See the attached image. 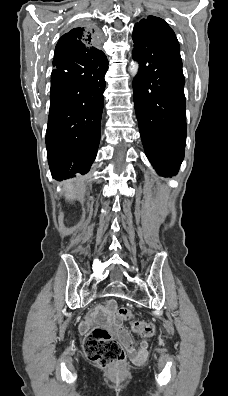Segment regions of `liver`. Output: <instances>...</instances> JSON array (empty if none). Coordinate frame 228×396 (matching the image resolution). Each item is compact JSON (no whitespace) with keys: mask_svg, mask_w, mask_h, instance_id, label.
<instances>
[{"mask_svg":"<svg viewBox=\"0 0 228 396\" xmlns=\"http://www.w3.org/2000/svg\"><path fill=\"white\" fill-rule=\"evenodd\" d=\"M67 188H68V189H70V185H69V186H67Z\"/></svg>","mask_w":228,"mask_h":396,"instance_id":"obj_1","label":"liver"}]
</instances>
